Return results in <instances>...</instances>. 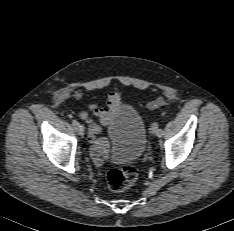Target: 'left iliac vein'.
<instances>
[{
	"instance_id": "4c4485c4",
	"label": "left iliac vein",
	"mask_w": 234,
	"mask_h": 231,
	"mask_svg": "<svg viewBox=\"0 0 234 231\" xmlns=\"http://www.w3.org/2000/svg\"><path fill=\"white\" fill-rule=\"evenodd\" d=\"M151 133L153 135H158V124L157 123H154L151 127Z\"/></svg>"
}]
</instances>
